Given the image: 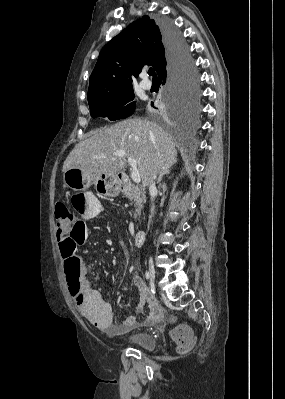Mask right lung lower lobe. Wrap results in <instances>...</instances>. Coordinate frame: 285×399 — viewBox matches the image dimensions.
I'll return each instance as SVG.
<instances>
[{
	"label": "right lung lower lobe",
	"instance_id": "right-lung-lower-lobe-1",
	"mask_svg": "<svg viewBox=\"0 0 285 399\" xmlns=\"http://www.w3.org/2000/svg\"><path fill=\"white\" fill-rule=\"evenodd\" d=\"M159 26L166 49V65L158 74L159 83L172 88L185 75L190 64V55L181 33L171 21H161Z\"/></svg>",
	"mask_w": 285,
	"mask_h": 399
}]
</instances>
